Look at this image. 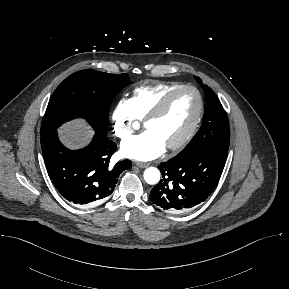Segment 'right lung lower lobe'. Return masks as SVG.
I'll return each mask as SVG.
<instances>
[{
    "label": "right lung lower lobe",
    "mask_w": 289,
    "mask_h": 289,
    "mask_svg": "<svg viewBox=\"0 0 289 289\" xmlns=\"http://www.w3.org/2000/svg\"><path fill=\"white\" fill-rule=\"evenodd\" d=\"M41 147L50 179L58 192L77 205H94L110 196L120 174L130 169L132 162L124 160L110 165L117 146L97 134L80 150L64 147L57 131L41 135Z\"/></svg>",
    "instance_id": "right-lung-lower-lobe-1"
}]
</instances>
